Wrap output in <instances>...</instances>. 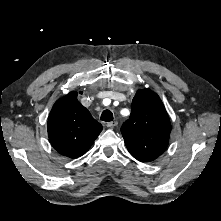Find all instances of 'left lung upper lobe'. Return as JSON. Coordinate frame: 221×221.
<instances>
[{
	"label": "left lung upper lobe",
	"mask_w": 221,
	"mask_h": 221,
	"mask_svg": "<svg viewBox=\"0 0 221 221\" xmlns=\"http://www.w3.org/2000/svg\"><path fill=\"white\" fill-rule=\"evenodd\" d=\"M171 124L159 96L140 89L132 100L130 117L121 133L130 154L141 162H150L167 148Z\"/></svg>",
	"instance_id": "1"
}]
</instances>
